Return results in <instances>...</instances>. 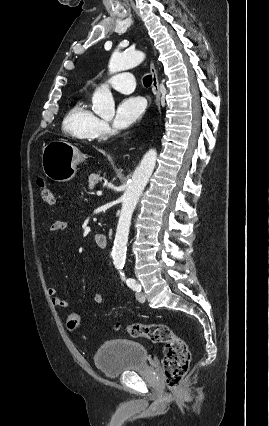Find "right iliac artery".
Here are the masks:
<instances>
[{"instance_id": "1", "label": "right iliac artery", "mask_w": 269, "mask_h": 426, "mask_svg": "<svg viewBox=\"0 0 269 426\" xmlns=\"http://www.w3.org/2000/svg\"><path fill=\"white\" fill-rule=\"evenodd\" d=\"M120 269H122V268H120ZM120 275H121V277H122V280L124 281V280H125V275H124V273H122V272L120 271Z\"/></svg>"}]
</instances>
